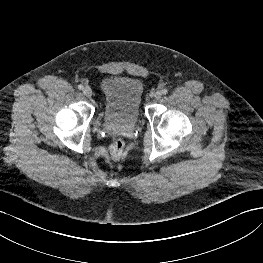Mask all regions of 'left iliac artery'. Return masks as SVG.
Listing matches in <instances>:
<instances>
[{
    "label": "left iliac artery",
    "mask_w": 263,
    "mask_h": 263,
    "mask_svg": "<svg viewBox=\"0 0 263 263\" xmlns=\"http://www.w3.org/2000/svg\"><path fill=\"white\" fill-rule=\"evenodd\" d=\"M162 93H163V94H167V93H168V90H167V89H163V90H162Z\"/></svg>",
    "instance_id": "1"
}]
</instances>
